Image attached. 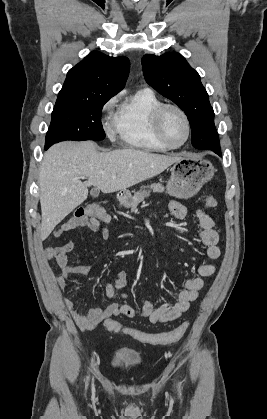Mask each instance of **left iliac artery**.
<instances>
[{"mask_svg": "<svg viewBox=\"0 0 267 419\" xmlns=\"http://www.w3.org/2000/svg\"><path fill=\"white\" fill-rule=\"evenodd\" d=\"M179 391L181 392L180 385L178 384Z\"/></svg>", "mask_w": 267, "mask_h": 419, "instance_id": "obj_1", "label": "left iliac artery"}]
</instances>
